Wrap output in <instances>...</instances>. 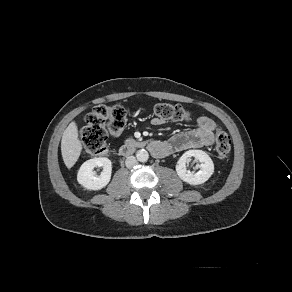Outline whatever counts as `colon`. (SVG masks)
<instances>
[{
    "label": "colon",
    "mask_w": 292,
    "mask_h": 292,
    "mask_svg": "<svg viewBox=\"0 0 292 292\" xmlns=\"http://www.w3.org/2000/svg\"><path fill=\"white\" fill-rule=\"evenodd\" d=\"M155 117L162 120L189 121L191 113L180 105L159 103L153 106ZM127 121L126 110L120 105L96 106L85 117V126L81 132L83 146L87 153L100 155L106 151L108 134L119 135ZM231 150L230 136L221 128L215 132V151L220 159H226Z\"/></svg>",
    "instance_id": "5ec220e1"
}]
</instances>
